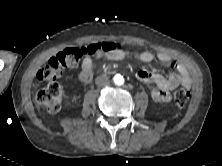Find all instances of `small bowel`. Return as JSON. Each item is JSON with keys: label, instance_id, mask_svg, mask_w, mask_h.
Masks as SVG:
<instances>
[{"label": "small bowel", "instance_id": "obj_1", "mask_svg": "<svg viewBox=\"0 0 222 166\" xmlns=\"http://www.w3.org/2000/svg\"><path fill=\"white\" fill-rule=\"evenodd\" d=\"M130 53L123 49H114L110 52L101 54L98 58H108L110 60L118 61L129 57ZM135 57L143 62H151L155 57L163 63H170L175 70L168 76L164 77L158 73L148 70H140L137 72L136 77L139 81L144 83H151L154 85L151 96L157 102H169L171 99V91L175 90L178 86L190 88L192 80L185 67L172 62L171 58L163 52L156 55L151 51H142L135 54ZM93 78V60L90 57L83 59L80 70L78 72V79L80 82L87 84Z\"/></svg>", "mask_w": 222, "mask_h": 166}]
</instances>
